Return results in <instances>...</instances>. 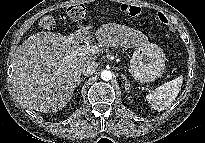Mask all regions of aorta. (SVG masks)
I'll return each mask as SVG.
<instances>
[{"label":"aorta","instance_id":"762f6f07","mask_svg":"<svg viewBox=\"0 0 205 143\" xmlns=\"http://www.w3.org/2000/svg\"><path fill=\"white\" fill-rule=\"evenodd\" d=\"M101 78L104 81H109L112 78V73L109 70H104L101 72Z\"/></svg>","mask_w":205,"mask_h":143}]
</instances>
